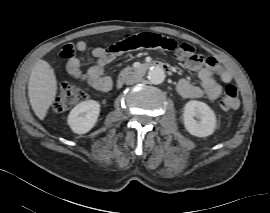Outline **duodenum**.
<instances>
[{
  "label": "duodenum",
  "instance_id": "1",
  "mask_svg": "<svg viewBox=\"0 0 270 213\" xmlns=\"http://www.w3.org/2000/svg\"><path fill=\"white\" fill-rule=\"evenodd\" d=\"M158 67V68H161V69H165L166 68V64L163 63V62H160V61H156V62H153V63H146V64H143L141 65L139 68L136 69L135 73L136 74H142L144 72H146L148 69H150L151 67ZM171 72V71H169ZM131 72L129 71H124L119 80H118V86L122 85V82H123V79L125 76H127L128 74H130Z\"/></svg>",
  "mask_w": 270,
  "mask_h": 213
}]
</instances>
